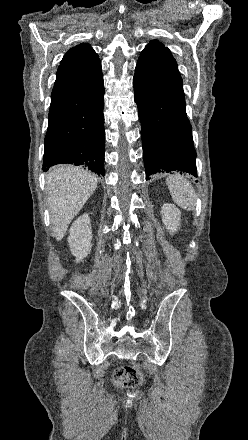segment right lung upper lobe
Returning <instances> with one entry per match:
<instances>
[{
	"instance_id": "cb5924a9",
	"label": "right lung upper lobe",
	"mask_w": 248,
	"mask_h": 440,
	"mask_svg": "<svg viewBox=\"0 0 248 440\" xmlns=\"http://www.w3.org/2000/svg\"><path fill=\"white\" fill-rule=\"evenodd\" d=\"M102 76L95 51L87 43L77 45L60 62L51 98L93 87Z\"/></svg>"
}]
</instances>
